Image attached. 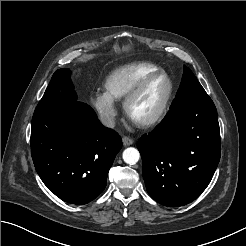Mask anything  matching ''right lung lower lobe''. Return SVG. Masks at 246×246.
<instances>
[{
    "label": "right lung lower lobe",
    "instance_id": "right-lung-lower-lobe-1",
    "mask_svg": "<svg viewBox=\"0 0 246 246\" xmlns=\"http://www.w3.org/2000/svg\"><path fill=\"white\" fill-rule=\"evenodd\" d=\"M121 147L120 136L79 101L58 114L32 118L36 171L47 188L68 203L86 204L102 193Z\"/></svg>",
    "mask_w": 246,
    "mask_h": 246
}]
</instances>
